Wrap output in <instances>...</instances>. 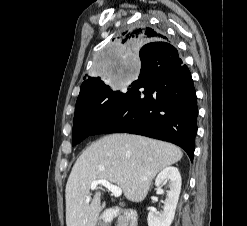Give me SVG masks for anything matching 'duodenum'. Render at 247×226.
<instances>
[{
    "mask_svg": "<svg viewBox=\"0 0 247 226\" xmlns=\"http://www.w3.org/2000/svg\"><path fill=\"white\" fill-rule=\"evenodd\" d=\"M118 219L121 226H137V213L130 208L112 207L103 214L101 226H107L113 220Z\"/></svg>",
    "mask_w": 247,
    "mask_h": 226,
    "instance_id": "410a0bca",
    "label": "duodenum"
}]
</instances>
